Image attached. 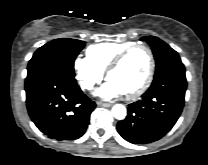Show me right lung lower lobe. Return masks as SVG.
Returning <instances> with one entry per match:
<instances>
[{
    "instance_id": "right-lung-lower-lobe-1",
    "label": "right lung lower lobe",
    "mask_w": 208,
    "mask_h": 165,
    "mask_svg": "<svg viewBox=\"0 0 208 165\" xmlns=\"http://www.w3.org/2000/svg\"><path fill=\"white\" fill-rule=\"evenodd\" d=\"M30 118L49 138L74 140L89 124L96 104L77 85L76 79L58 70H46L25 81Z\"/></svg>"
}]
</instances>
